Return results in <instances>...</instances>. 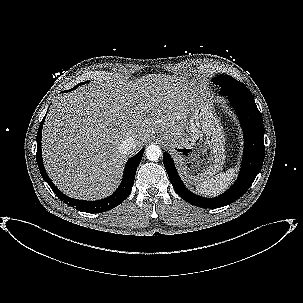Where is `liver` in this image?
<instances>
[{
    "mask_svg": "<svg viewBox=\"0 0 303 303\" xmlns=\"http://www.w3.org/2000/svg\"><path fill=\"white\" fill-rule=\"evenodd\" d=\"M200 101L184 77L150 74L112 82L97 76L52 103L42 131L46 170L70 197H106L119 185L129 155L119 151L120 143L132 137L133 154L155 133L180 135Z\"/></svg>",
    "mask_w": 303,
    "mask_h": 303,
    "instance_id": "obj_1",
    "label": "liver"
}]
</instances>
